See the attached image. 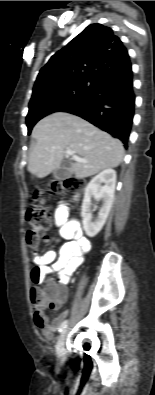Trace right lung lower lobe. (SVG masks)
Listing matches in <instances>:
<instances>
[{"label": "right lung lower lobe", "instance_id": "98d812e1", "mask_svg": "<svg viewBox=\"0 0 155 395\" xmlns=\"http://www.w3.org/2000/svg\"><path fill=\"white\" fill-rule=\"evenodd\" d=\"M135 106L131 67L105 75L98 88L63 111L75 114L120 139L127 147Z\"/></svg>", "mask_w": 155, "mask_h": 395}]
</instances>
